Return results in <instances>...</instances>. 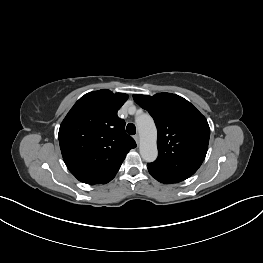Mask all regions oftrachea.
<instances>
[{"mask_svg":"<svg viewBox=\"0 0 263 263\" xmlns=\"http://www.w3.org/2000/svg\"><path fill=\"white\" fill-rule=\"evenodd\" d=\"M126 131L130 135H134L136 133V127L133 123H129L126 127Z\"/></svg>","mask_w":263,"mask_h":263,"instance_id":"3493384b","label":"trachea"}]
</instances>
